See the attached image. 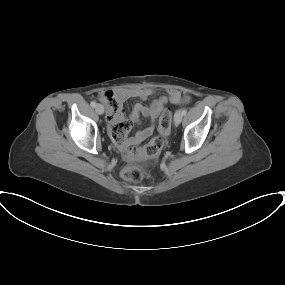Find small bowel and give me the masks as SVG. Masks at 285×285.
Instances as JSON below:
<instances>
[{"mask_svg":"<svg viewBox=\"0 0 285 285\" xmlns=\"http://www.w3.org/2000/svg\"><path fill=\"white\" fill-rule=\"evenodd\" d=\"M117 97L121 102L129 99V98H139L141 100H146L150 96L153 95L154 91L150 88H140V89H123L116 92H108ZM189 97L187 95H183L178 90L171 89L167 92L166 95L161 96L155 99L150 105L146 106L141 103L135 104L129 114V119L138 123L140 121V117L144 116L151 120L154 123L160 114V112L164 109L167 104H180L187 102ZM106 118L110 124V126H114L115 124L124 121V114L119 111L117 113H111L107 111ZM154 132V125H150L145 129L137 132L135 136L127 138L125 142L121 145L123 149L127 147L145 141L148 139Z\"/></svg>","mask_w":285,"mask_h":285,"instance_id":"1","label":"small bowel"}]
</instances>
